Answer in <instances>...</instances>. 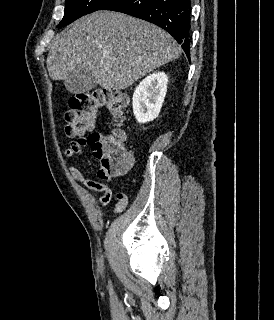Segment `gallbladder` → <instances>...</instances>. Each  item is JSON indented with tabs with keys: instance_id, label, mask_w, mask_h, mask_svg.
<instances>
[{
	"instance_id": "gallbladder-1",
	"label": "gallbladder",
	"mask_w": 274,
	"mask_h": 320,
	"mask_svg": "<svg viewBox=\"0 0 274 320\" xmlns=\"http://www.w3.org/2000/svg\"><path fill=\"white\" fill-rule=\"evenodd\" d=\"M68 95H83L97 86V82L87 68H71L65 78Z\"/></svg>"
}]
</instances>
